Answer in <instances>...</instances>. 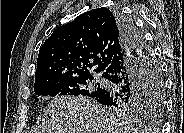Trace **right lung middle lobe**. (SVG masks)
I'll list each match as a JSON object with an SVG mask.
<instances>
[{
  "label": "right lung middle lobe",
  "mask_w": 184,
  "mask_h": 133,
  "mask_svg": "<svg viewBox=\"0 0 184 133\" xmlns=\"http://www.w3.org/2000/svg\"><path fill=\"white\" fill-rule=\"evenodd\" d=\"M141 37L142 33L137 30ZM148 54V73L149 83L142 93L140 99H120L110 106L112 112L118 114H132L143 110L153 111L160 114L163 109L164 102V88L163 79L161 76L160 67L156 61L150 48L146 45ZM93 76L82 77H69V78H56L37 85H34L35 94L38 96H51L56 95H83L94 97L99 95L103 88L100 84L93 85ZM36 102L38 99L35 100Z\"/></svg>",
  "instance_id": "obj_1"
}]
</instances>
